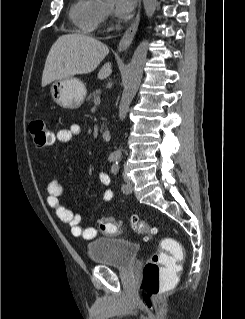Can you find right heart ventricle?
<instances>
[{
	"label": "right heart ventricle",
	"mask_w": 245,
	"mask_h": 319,
	"mask_svg": "<svg viewBox=\"0 0 245 319\" xmlns=\"http://www.w3.org/2000/svg\"><path fill=\"white\" fill-rule=\"evenodd\" d=\"M102 11L99 0H75L70 8V18L82 32L93 34L101 24Z\"/></svg>",
	"instance_id": "obj_1"
}]
</instances>
